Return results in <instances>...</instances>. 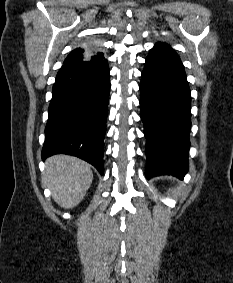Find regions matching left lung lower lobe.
<instances>
[{
    "mask_svg": "<svg viewBox=\"0 0 233 283\" xmlns=\"http://www.w3.org/2000/svg\"><path fill=\"white\" fill-rule=\"evenodd\" d=\"M141 119L146 144V178L188 170L191 96L182 62L165 43L146 58L140 84Z\"/></svg>",
    "mask_w": 233,
    "mask_h": 283,
    "instance_id": "obj_1",
    "label": "left lung lower lobe"
}]
</instances>
